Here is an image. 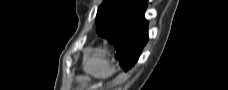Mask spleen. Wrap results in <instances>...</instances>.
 <instances>
[{
	"mask_svg": "<svg viewBox=\"0 0 228 90\" xmlns=\"http://www.w3.org/2000/svg\"><path fill=\"white\" fill-rule=\"evenodd\" d=\"M84 71L94 78L102 79L110 77L115 72V68L112 67L109 60L104 57L103 51L97 49L86 61Z\"/></svg>",
	"mask_w": 228,
	"mask_h": 90,
	"instance_id": "3e777b00",
	"label": "spleen"
}]
</instances>
